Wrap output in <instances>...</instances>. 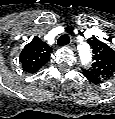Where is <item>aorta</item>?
Listing matches in <instances>:
<instances>
[{"label": "aorta", "mask_w": 115, "mask_h": 119, "mask_svg": "<svg viewBox=\"0 0 115 119\" xmlns=\"http://www.w3.org/2000/svg\"><path fill=\"white\" fill-rule=\"evenodd\" d=\"M79 56L83 65H88L92 60L91 48L87 43H81L78 47Z\"/></svg>", "instance_id": "1"}]
</instances>
